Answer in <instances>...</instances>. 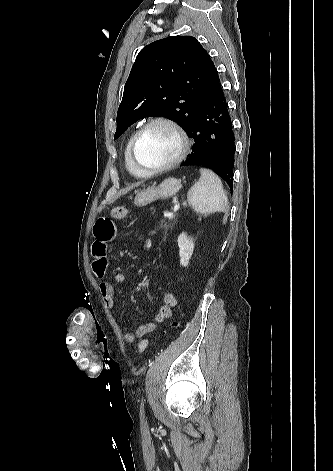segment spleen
<instances>
[{
	"mask_svg": "<svg viewBox=\"0 0 333 471\" xmlns=\"http://www.w3.org/2000/svg\"><path fill=\"white\" fill-rule=\"evenodd\" d=\"M201 177L188 192L187 200L191 208L203 215L225 212L228 199L220 178L211 170L201 168Z\"/></svg>",
	"mask_w": 333,
	"mask_h": 471,
	"instance_id": "1",
	"label": "spleen"
}]
</instances>
